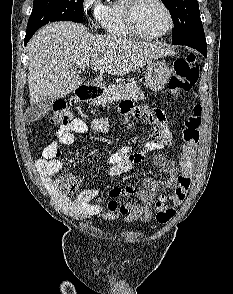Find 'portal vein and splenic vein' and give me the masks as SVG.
Masks as SVG:
<instances>
[{
  "label": "portal vein and splenic vein",
  "mask_w": 233,
  "mask_h": 294,
  "mask_svg": "<svg viewBox=\"0 0 233 294\" xmlns=\"http://www.w3.org/2000/svg\"><path fill=\"white\" fill-rule=\"evenodd\" d=\"M91 62L89 60H82L78 63V67L79 68H84L86 66H88Z\"/></svg>",
  "instance_id": "1"
}]
</instances>
